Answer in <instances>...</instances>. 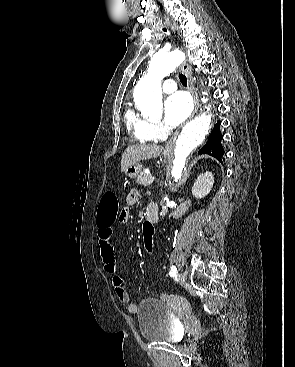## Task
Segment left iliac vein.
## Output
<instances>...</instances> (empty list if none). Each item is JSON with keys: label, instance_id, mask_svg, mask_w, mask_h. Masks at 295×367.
I'll return each instance as SVG.
<instances>
[{"label": "left iliac vein", "instance_id": "obj_1", "mask_svg": "<svg viewBox=\"0 0 295 367\" xmlns=\"http://www.w3.org/2000/svg\"><path fill=\"white\" fill-rule=\"evenodd\" d=\"M178 280L181 283L185 282L186 281V274L185 273H179L178 274Z\"/></svg>", "mask_w": 295, "mask_h": 367}]
</instances>
